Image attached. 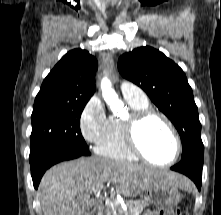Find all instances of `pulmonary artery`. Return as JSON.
Instances as JSON below:
<instances>
[{"mask_svg":"<svg viewBox=\"0 0 221 215\" xmlns=\"http://www.w3.org/2000/svg\"><path fill=\"white\" fill-rule=\"evenodd\" d=\"M120 91L124 98H130L135 100H144L146 99L145 94L143 91L129 82H122L120 85Z\"/></svg>","mask_w":221,"mask_h":215,"instance_id":"pulmonary-artery-1","label":"pulmonary artery"}]
</instances>
